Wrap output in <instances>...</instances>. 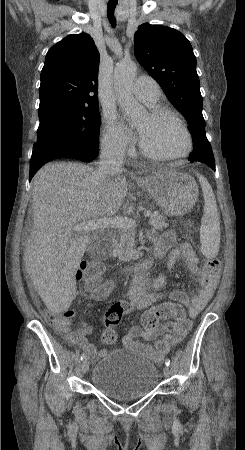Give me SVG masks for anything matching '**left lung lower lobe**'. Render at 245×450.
Returning a JSON list of instances; mask_svg holds the SVG:
<instances>
[{
	"label": "left lung lower lobe",
	"instance_id": "0a47b994",
	"mask_svg": "<svg viewBox=\"0 0 245 450\" xmlns=\"http://www.w3.org/2000/svg\"><path fill=\"white\" fill-rule=\"evenodd\" d=\"M198 152L201 153V155L193 156L196 160H191L190 158H188V159L190 161H198V162L205 163V164L209 165L213 170H215V160H214V155H213L212 149L210 147L207 148L204 146H199Z\"/></svg>",
	"mask_w": 245,
	"mask_h": 450
}]
</instances>
